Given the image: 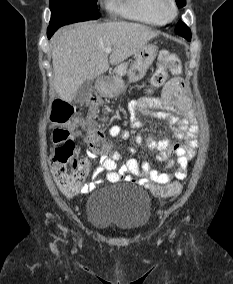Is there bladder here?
Listing matches in <instances>:
<instances>
[{"label":"bladder","instance_id":"31cf9c89","mask_svg":"<svg viewBox=\"0 0 233 284\" xmlns=\"http://www.w3.org/2000/svg\"><path fill=\"white\" fill-rule=\"evenodd\" d=\"M85 210L87 221L97 228L136 232L148 224L152 203L144 189L122 185L92 193Z\"/></svg>","mask_w":233,"mask_h":284}]
</instances>
